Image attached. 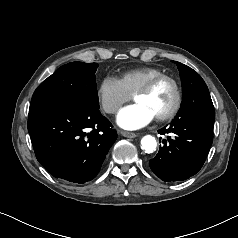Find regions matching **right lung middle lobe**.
Here are the masks:
<instances>
[{"label": "right lung middle lobe", "instance_id": "right-lung-middle-lobe-1", "mask_svg": "<svg viewBox=\"0 0 238 238\" xmlns=\"http://www.w3.org/2000/svg\"><path fill=\"white\" fill-rule=\"evenodd\" d=\"M97 63L71 62L58 68L34 92L35 100H66L99 109Z\"/></svg>", "mask_w": 238, "mask_h": 238}]
</instances>
